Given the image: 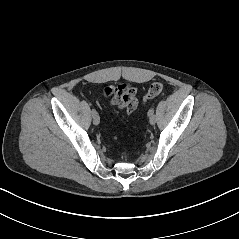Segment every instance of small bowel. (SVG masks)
I'll return each mask as SVG.
<instances>
[{"instance_id":"obj_1","label":"small bowel","mask_w":239,"mask_h":239,"mask_svg":"<svg viewBox=\"0 0 239 239\" xmlns=\"http://www.w3.org/2000/svg\"><path fill=\"white\" fill-rule=\"evenodd\" d=\"M103 95L110 98L112 106L124 111L128 115L133 113L138 106L136 88L129 84H121L115 88L107 87L103 91Z\"/></svg>"}]
</instances>
